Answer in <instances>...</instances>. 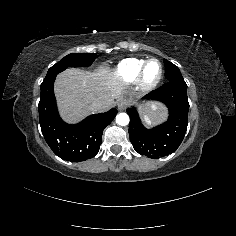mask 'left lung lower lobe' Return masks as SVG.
<instances>
[{"label": "left lung lower lobe", "mask_w": 236, "mask_h": 236, "mask_svg": "<svg viewBox=\"0 0 236 236\" xmlns=\"http://www.w3.org/2000/svg\"><path fill=\"white\" fill-rule=\"evenodd\" d=\"M145 99L163 102L169 109L168 120L145 128L135 107L128 108L130 116L129 137L134 149L141 155L157 159L173 153L181 144L188 125L189 102L184 80H171L149 93Z\"/></svg>", "instance_id": "obj_1"}]
</instances>
